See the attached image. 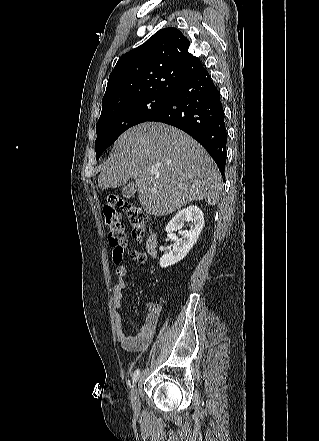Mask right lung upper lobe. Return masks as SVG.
<instances>
[{
	"label": "right lung upper lobe",
	"mask_w": 319,
	"mask_h": 441,
	"mask_svg": "<svg viewBox=\"0 0 319 441\" xmlns=\"http://www.w3.org/2000/svg\"><path fill=\"white\" fill-rule=\"evenodd\" d=\"M189 40L177 28L156 32L143 45L122 55L109 76L102 111L149 96L171 97L204 66L190 53Z\"/></svg>",
	"instance_id": "cb5924a9"
}]
</instances>
